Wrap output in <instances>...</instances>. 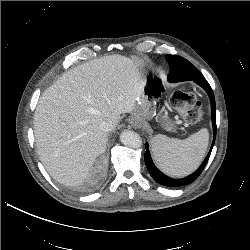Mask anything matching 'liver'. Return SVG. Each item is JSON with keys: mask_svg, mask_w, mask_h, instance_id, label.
<instances>
[{"mask_svg": "<svg viewBox=\"0 0 250 250\" xmlns=\"http://www.w3.org/2000/svg\"><path fill=\"white\" fill-rule=\"evenodd\" d=\"M144 85L134 60L109 55L70 69L47 88L35 110L34 135L50 176L67 186L82 183L106 150L99 124L109 121L114 129L121 114L134 112Z\"/></svg>", "mask_w": 250, "mask_h": 250, "instance_id": "6515ba94", "label": "liver"}]
</instances>
